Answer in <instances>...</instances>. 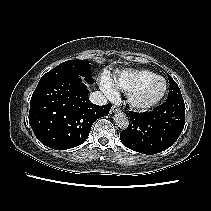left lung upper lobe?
Masks as SVG:
<instances>
[{
    "label": "left lung upper lobe",
    "mask_w": 211,
    "mask_h": 211,
    "mask_svg": "<svg viewBox=\"0 0 211 211\" xmlns=\"http://www.w3.org/2000/svg\"><path fill=\"white\" fill-rule=\"evenodd\" d=\"M168 78L170 82V90L168 94V99L182 98V95L177 83L172 79L171 76H169Z\"/></svg>",
    "instance_id": "obj_1"
}]
</instances>
